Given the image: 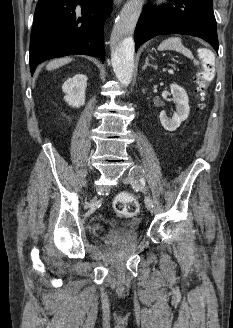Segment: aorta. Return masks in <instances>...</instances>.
Wrapping results in <instances>:
<instances>
[{
	"label": "aorta",
	"instance_id": "762f6f07",
	"mask_svg": "<svg viewBox=\"0 0 233 328\" xmlns=\"http://www.w3.org/2000/svg\"><path fill=\"white\" fill-rule=\"evenodd\" d=\"M143 0H129L116 19L111 37V61L117 79L128 85L134 69L132 32L142 12Z\"/></svg>",
	"mask_w": 233,
	"mask_h": 328
}]
</instances>
